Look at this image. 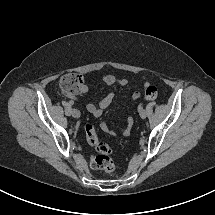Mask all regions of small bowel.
Segmentation results:
<instances>
[{
  "instance_id": "1",
  "label": "small bowel",
  "mask_w": 215,
  "mask_h": 215,
  "mask_svg": "<svg viewBox=\"0 0 215 215\" xmlns=\"http://www.w3.org/2000/svg\"><path fill=\"white\" fill-rule=\"evenodd\" d=\"M103 81L107 85H121L126 86L128 84V80L124 78H117L114 75L108 74L103 77ZM88 87L84 85L82 92H87ZM140 97L139 92H135L133 94V100H137ZM114 100V94L108 93L106 94L97 104L89 103L86 106L87 111L95 117H100L103 111L112 103ZM133 127V119L132 117L127 118L125 126L122 129V134L124 136H129ZM102 128L110 133L111 135H115L114 129L108 127L106 124H102Z\"/></svg>"
}]
</instances>
